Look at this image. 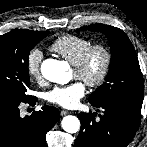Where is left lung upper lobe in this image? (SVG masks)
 <instances>
[{"instance_id": "obj_1", "label": "left lung upper lobe", "mask_w": 147, "mask_h": 147, "mask_svg": "<svg viewBox=\"0 0 147 147\" xmlns=\"http://www.w3.org/2000/svg\"><path fill=\"white\" fill-rule=\"evenodd\" d=\"M80 30L101 32L109 39L111 62L105 83L88 98L91 105L125 103L141 109L143 84L135 49L127 35L119 28L94 24Z\"/></svg>"}]
</instances>
